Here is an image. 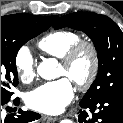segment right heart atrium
Returning <instances> with one entry per match:
<instances>
[{"label":"right heart atrium","mask_w":123,"mask_h":123,"mask_svg":"<svg viewBox=\"0 0 123 123\" xmlns=\"http://www.w3.org/2000/svg\"><path fill=\"white\" fill-rule=\"evenodd\" d=\"M14 67L22 82L29 83L34 79L36 64L28 47L23 46L18 49L14 57Z\"/></svg>","instance_id":"1"}]
</instances>
